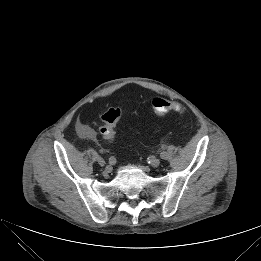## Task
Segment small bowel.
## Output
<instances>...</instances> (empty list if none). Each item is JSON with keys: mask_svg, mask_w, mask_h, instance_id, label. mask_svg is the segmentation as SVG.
Listing matches in <instances>:
<instances>
[{"mask_svg": "<svg viewBox=\"0 0 261 261\" xmlns=\"http://www.w3.org/2000/svg\"><path fill=\"white\" fill-rule=\"evenodd\" d=\"M76 130H77L78 135L83 139H88V140L96 139V136H97L96 131L91 126H89L83 122L77 123Z\"/></svg>", "mask_w": 261, "mask_h": 261, "instance_id": "1", "label": "small bowel"}]
</instances>
